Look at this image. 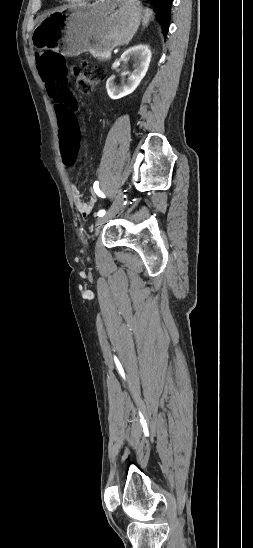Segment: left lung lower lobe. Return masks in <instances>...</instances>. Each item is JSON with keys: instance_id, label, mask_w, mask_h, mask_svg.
I'll return each instance as SVG.
<instances>
[{"instance_id": "left-lung-lower-lobe-1", "label": "left lung lower lobe", "mask_w": 253, "mask_h": 548, "mask_svg": "<svg viewBox=\"0 0 253 548\" xmlns=\"http://www.w3.org/2000/svg\"><path fill=\"white\" fill-rule=\"evenodd\" d=\"M155 5L158 14V21L162 27L163 34L166 36L169 28L171 16V6L173 0H148Z\"/></svg>"}]
</instances>
